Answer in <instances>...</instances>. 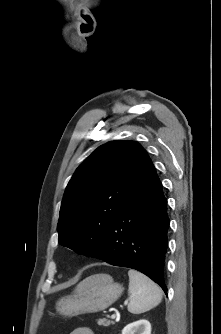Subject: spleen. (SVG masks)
<instances>
[{
    "label": "spleen",
    "mask_w": 221,
    "mask_h": 334,
    "mask_svg": "<svg viewBox=\"0 0 221 334\" xmlns=\"http://www.w3.org/2000/svg\"><path fill=\"white\" fill-rule=\"evenodd\" d=\"M129 289L130 302L128 311L141 314L156 307L162 300L163 293L158 285L139 271L130 269Z\"/></svg>",
    "instance_id": "3e777b00"
}]
</instances>
